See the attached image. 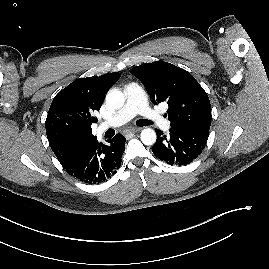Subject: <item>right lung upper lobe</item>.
I'll list each match as a JSON object with an SVG mask.
<instances>
[{"label":"right lung upper lobe","mask_w":269,"mask_h":269,"mask_svg":"<svg viewBox=\"0 0 269 269\" xmlns=\"http://www.w3.org/2000/svg\"><path fill=\"white\" fill-rule=\"evenodd\" d=\"M119 73L80 78L62 89L53 99L45 127L59 162L97 137L91 125L98 120L94 112L102 106L107 90L120 78Z\"/></svg>","instance_id":"1"}]
</instances>
